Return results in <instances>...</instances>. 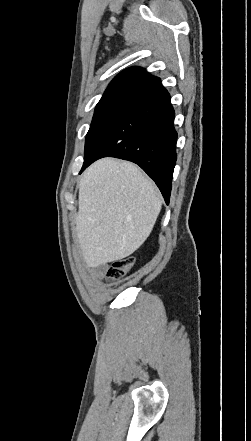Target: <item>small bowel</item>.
Returning a JSON list of instances; mask_svg holds the SVG:
<instances>
[{
	"instance_id": "obj_1",
	"label": "small bowel",
	"mask_w": 251,
	"mask_h": 441,
	"mask_svg": "<svg viewBox=\"0 0 251 441\" xmlns=\"http://www.w3.org/2000/svg\"><path fill=\"white\" fill-rule=\"evenodd\" d=\"M108 265L106 263H100L94 267L93 271V277L96 280L101 279V277L104 275Z\"/></svg>"
}]
</instances>
